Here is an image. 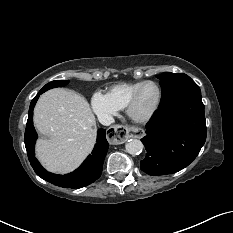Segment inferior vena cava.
Instances as JSON below:
<instances>
[{
    "label": "inferior vena cava",
    "mask_w": 233,
    "mask_h": 233,
    "mask_svg": "<svg viewBox=\"0 0 233 233\" xmlns=\"http://www.w3.org/2000/svg\"><path fill=\"white\" fill-rule=\"evenodd\" d=\"M99 122L104 126H109L114 123V118L109 114H101L98 117Z\"/></svg>",
    "instance_id": "inferior-vena-cava-1"
}]
</instances>
